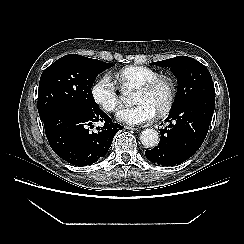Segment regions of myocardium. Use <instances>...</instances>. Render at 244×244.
<instances>
[{"label": "myocardium", "mask_w": 244, "mask_h": 244, "mask_svg": "<svg viewBox=\"0 0 244 244\" xmlns=\"http://www.w3.org/2000/svg\"><path fill=\"white\" fill-rule=\"evenodd\" d=\"M162 83L168 86L169 94L165 105L157 111V115L160 117L167 115L174 106L177 95V89L176 83L173 80V78L167 75H158L137 88V91L149 93L152 92L158 85Z\"/></svg>", "instance_id": "myocardium-1"}]
</instances>
